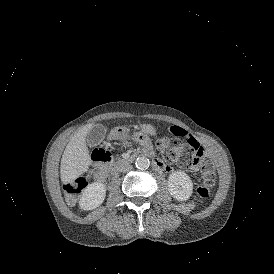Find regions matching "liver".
Masks as SVG:
<instances>
[{
  "instance_id": "liver-1",
  "label": "liver",
  "mask_w": 274,
  "mask_h": 274,
  "mask_svg": "<svg viewBox=\"0 0 274 274\" xmlns=\"http://www.w3.org/2000/svg\"><path fill=\"white\" fill-rule=\"evenodd\" d=\"M91 128L87 124L71 138L66 146L61 159L60 175L63 183H68L85 172L89 165L88 150L85 145V137Z\"/></svg>"
}]
</instances>
